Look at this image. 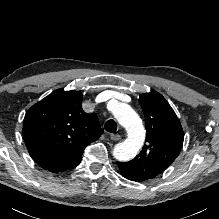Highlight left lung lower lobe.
<instances>
[{"label": "left lung lower lobe", "instance_id": "1", "mask_svg": "<svg viewBox=\"0 0 219 219\" xmlns=\"http://www.w3.org/2000/svg\"><path fill=\"white\" fill-rule=\"evenodd\" d=\"M119 171H120V173L122 174L123 177H125V178H127L131 181H136V182L145 181V180H142L141 177L137 176L136 174H134L131 171L126 170L124 168H119Z\"/></svg>", "mask_w": 219, "mask_h": 219}]
</instances>
